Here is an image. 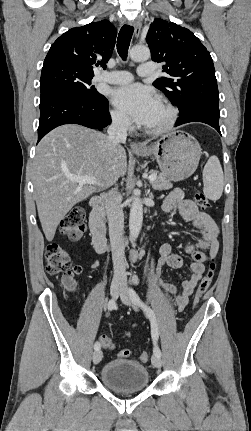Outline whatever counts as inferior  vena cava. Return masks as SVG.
<instances>
[{"mask_svg":"<svg viewBox=\"0 0 251 431\" xmlns=\"http://www.w3.org/2000/svg\"><path fill=\"white\" fill-rule=\"evenodd\" d=\"M130 124V119L126 115H117L113 118L112 123L107 130L108 139L113 147L126 142L127 130ZM105 209L109 221V236L114 265V279L126 280L127 274L125 270L124 255L125 246L123 239L124 214L120 205V197L117 193H109L105 196Z\"/></svg>","mask_w":251,"mask_h":431,"instance_id":"602c4592","label":"inferior vena cava"}]
</instances>
